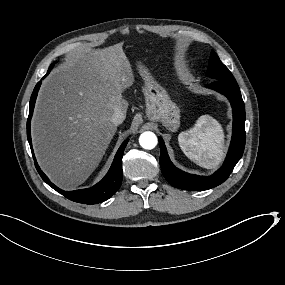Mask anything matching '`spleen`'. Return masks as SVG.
Returning <instances> with one entry per match:
<instances>
[{"mask_svg": "<svg viewBox=\"0 0 285 285\" xmlns=\"http://www.w3.org/2000/svg\"><path fill=\"white\" fill-rule=\"evenodd\" d=\"M222 140L218 123L206 115L200 116L179 134V143L185 155L206 168H211L220 160Z\"/></svg>", "mask_w": 285, "mask_h": 285, "instance_id": "3e777b00", "label": "spleen"}]
</instances>
